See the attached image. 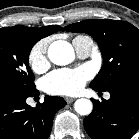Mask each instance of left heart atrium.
Masks as SVG:
<instances>
[{"label": "left heart atrium", "instance_id": "39dd6f15", "mask_svg": "<svg viewBox=\"0 0 139 139\" xmlns=\"http://www.w3.org/2000/svg\"><path fill=\"white\" fill-rule=\"evenodd\" d=\"M91 78L87 67L75 69H58L43 79L44 89L54 95L77 94Z\"/></svg>", "mask_w": 139, "mask_h": 139}]
</instances>
